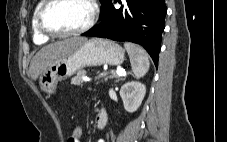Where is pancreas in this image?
Masks as SVG:
<instances>
[{
  "label": "pancreas",
  "mask_w": 227,
  "mask_h": 142,
  "mask_svg": "<svg viewBox=\"0 0 227 142\" xmlns=\"http://www.w3.org/2000/svg\"><path fill=\"white\" fill-rule=\"evenodd\" d=\"M86 75H87V72L85 70L78 71L76 76L71 79V84H73V85L82 84L83 83V79L82 78H83V76H86ZM113 76H115V75L112 74V76H109V77L107 75H105L103 79H104V81H107L108 78H111ZM103 79L101 81H103ZM97 83H99V81Z\"/></svg>",
  "instance_id": "1"
}]
</instances>
